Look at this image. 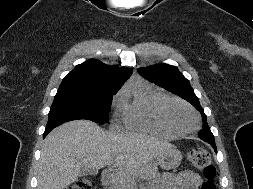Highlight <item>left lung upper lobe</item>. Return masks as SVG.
<instances>
[{
  "label": "left lung upper lobe",
  "instance_id": "1",
  "mask_svg": "<svg viewBox=\"0 0 253 189\" xmlns=\"http://www.w3.org/2000/svg\"><path fill=\"white\" fill-rule=\"evenodd\" d=\"M138 72L145 79L172 92L191 103L202 114L203 127L200 133L213 136L207 125V117L200 106L199 99L195 95L189 81L179 72L175 66L167 64L152 65L146 68H138Z\"/></svg>",
  "mask_w": 253,
  "mask_h": 189
}]
</instances>
